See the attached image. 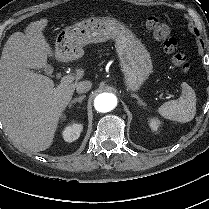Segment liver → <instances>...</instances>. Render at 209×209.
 I'll return each mask as SVG.
<instances>
[{
    "label": "liver",
    "instance_id": "1",
    "mask_svg": "<svg viewBox=\"0 0 209 209\" xmlns=\"http://www.w3.org/2000/svg\"><path fill=\"white\" fill-rule=\"evenodd\" d=\"M47 22L34 21L25 34L13 33L0 58V121L13 142L34 152L51 146L60 116L85 74L77 68L75 83L54 88L49 77L30 70L45 67L53 56L43 34Z\"/></svg>",
    "mask_w": 209,
    "mask_h": 209
}]
</instances>
